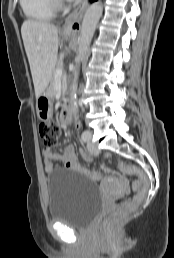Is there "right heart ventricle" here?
Wrapping results in <instances>:
<instances>
[{
    "label": "right heart ventricle",
    "mask_w": 174,
    "mask_h": 258,
    "mask_svg": "<svg viewBox=\"0 0 174 258\" xmlns=\"http://www.w3.org/2000/svg\"><path fill=\"white\" fill-rule=\"evenodd\" d=\"M19 3L25 16L33 21H48L56 11L51 0H19Z\"/></svg>",
    "instance_id": "e07e8e85"
}]
</instances>
